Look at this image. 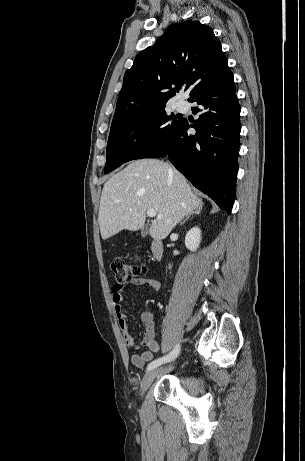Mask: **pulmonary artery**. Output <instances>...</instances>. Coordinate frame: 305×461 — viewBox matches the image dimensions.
I'll return each mask as SVG.
<instances>
[{"label":"pulmonary artery","instance_id":"obj_1","mask_svg":"<svg viewBox=\"0 0 305 461\" xmlns=\"http://www.w3.org/2000/svg\"><path fill=\"white\" fill-rule=\"evenodd\" d=\"M176 109L178 111H185L187 109V103L186 101L184 100H179L177 103H176Z\"/></svg>","mask_w":305,"mask_h":461}]
</instances>
